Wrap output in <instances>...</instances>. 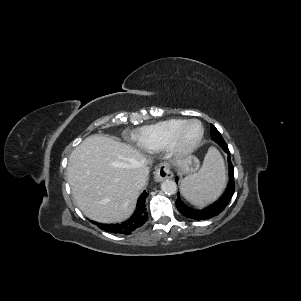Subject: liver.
<instances>
[{"label": "liver", "instance_id": "obj_1", "mask_svg": "<svg viewBox=\"0 0 301 301\" xmlns=\"http://www.w3.org/2000/svg\"><path fill=\"white\" fill-rule=\"evenodd\" d=\"M148 160L130 145L92 135L71 153L67 181L79 209L88 218L121 222L133 213L141 188L134 178L149 169Z\"/></svg>", "mask_w": 301, "mask_h": 301}]
</instances>
